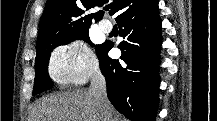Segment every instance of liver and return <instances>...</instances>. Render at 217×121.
<instances>
[{"mask_svg": "<svg viewBox=\"0 0 217 121\" xmlns=\"http://www.w3.org/2000/svg\"><path fill=\"white\" fill-rule=\"evenodd\" d=\"M112 121L118 115L108 104ZM31 121H103V112L89 90L68 91L44 97L32 111Z\"/></svg>", "mask_w": 217, "mask_h": 121, "instance_id": "obj_1", "label": "liver"}]
</instances>
